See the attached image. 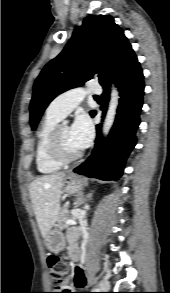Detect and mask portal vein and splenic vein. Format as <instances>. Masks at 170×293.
Instances as JSON below:
<instances>
[{
    "label": "portal vein and splenic vein",
    "mask_w": 170,
    "mask_h": 293,
    "mask_svg": "<svg viewBox=\"0 0 170 293\" xmlns=\"http://www.w3.org/2000/svg\"><path fill=\"white\" fill-rule=\"evenodd\" d=\"M65 223L68 224V225H75L76 224V221L74 219H67L65 221Z\"/></svg>",
    "instance_id": "obj_1"
}]
</instances>
